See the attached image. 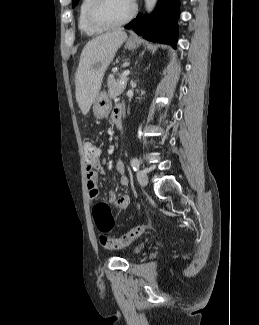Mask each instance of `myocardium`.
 <instances>
[{
	"label": "myocardium",
	"mask_w": 259,
	"mask_h": 325,
	"mask_svg": "<svg viewBox=\"0 0 259 325\" xmlns=\"http://www.w3.org/2000/svg\"><path fill=\"white\" fill-rule=\"evenodd\" d=\"M107 0H91L87 11L89 22L98 28L110 29L124 25L130 21L136 13V5L132 3L128 14L121 19H112L105 13V4Z\"/></svg>",
	"instance_id": "f54148a6"
}]
</instances>
